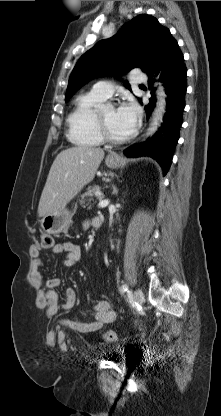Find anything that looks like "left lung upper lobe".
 Returning <instances> with one entry per match:
<instances>
[{"mask_svg":"<svg viewBox=\"0 0 221 416\" xmlns=\"http://www.w3.org/2000/svg\"><path fill=\"white\" fill-rule=\"evenodd\" d=\"M168 31L155 17L141 14L125 24L107 40H101L84 53L74 67L68 82L65 101L94 77L148 67L163 35ZM128 89L130 85L126 82Z\"/></svg>","mask_w":221,"mask_h":416,"instance_id":"1","label":"left lung upper lobe"}]
</instances>
